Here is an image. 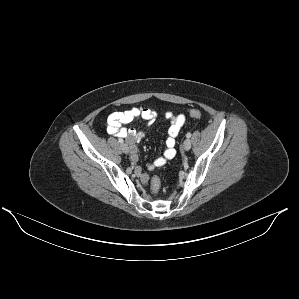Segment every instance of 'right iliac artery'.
<instances>
[{
    "instance_id": "right-iliac-artery-1",
    "label": "right iliac artery",
    "mask_w": 299,
    "mask_h": 299,
    "mask_svg": "<svg viewBox=\"0 0 299 299\" xmlns=\"http://www.w3.org/2000/svg\"><path fill=\"white\" fill-rule=\"evenodd\" d=\"M118 141H119V143H123L124 142V140L122 138H119Z\"/></svg>"
}]
</instances>
